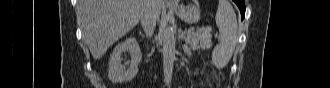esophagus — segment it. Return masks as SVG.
<instances>
[{
    "instance_id": "1",
    "label": "esophagus",
    "mask_w": 330,
    "mask_h": 88,
    "mask_svg": "<svg viewBox=\"0 0 330 88\" xmlns=\"http://www.w3.org/2000/svg\"><path fill=\"white\" fill-rule=\"evenodd\" d=\"M165 4L168 6H175L177 3L174 0H164Z\"/></svg>"
}]
</instances>
